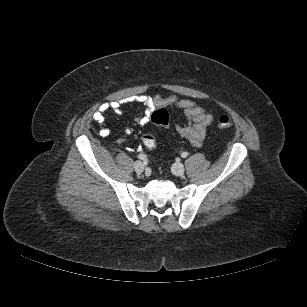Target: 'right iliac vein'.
<instances>
[{"label": "right iliac vein", "mask_w": 307, "mask_h": 307, "mask_svg": "<svg viewBox=\"0 0 307 307\" xmlns=\"http://www.w3.org/2000/svg\"><path fill=\"white\" fill-rule=\"evenodd\" d=\"M144 169H145V165H144L143 162H141V161H136V162L134 163V170H135L137 173L143 172Z\"/></svg>", "instance_id": "1"}]
</instances>
